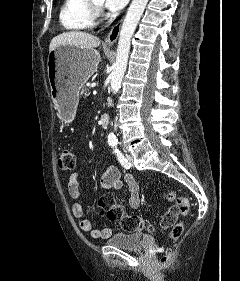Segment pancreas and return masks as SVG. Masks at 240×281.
I'll use <instances>...</instances> for the list:
<instances>
[{"instance_id":"cf45deb5","label":"pancreas","mask_w":240,"mask_h":281,"mask_svg":"<svg viewBox=\"0 0 240 281\" xmlns=\"http://www.w3.org/2000/svg\"><path fill=\"white\" fill-rule=\"evenodd\" d=\"M80 95L87 97L89 95V89L86 87L82 88Z\"/></svg>"}]
</instances>
